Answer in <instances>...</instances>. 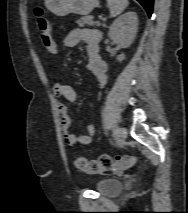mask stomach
Instances as JSON below:
<instances>
[{
  "label": "stomach",
  "instance_id": "0dacf381",
  "mask_svg": "<svg viewBox=\"0 0 188 213\" xmlns=\"http://www.w3.org/2000/svg\"><path fill=\"white\" fill-rule=\"evenodd\" d=\"M44 4L53 14L65 16L69 13L87 15L99 5V2L98 0H45Z\"/></svg>",
  "mask_w": 188,
  "mask_h": 213
}]
</instances>
